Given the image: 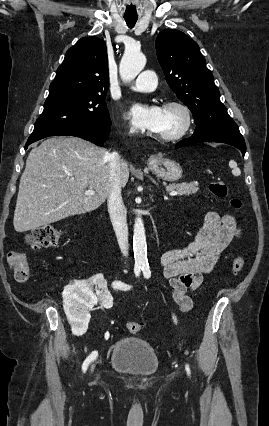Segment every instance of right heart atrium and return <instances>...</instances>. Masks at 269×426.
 <instances>
[{"label":"right heart atrium","mask_w":269,"mask_h":426,"mask_svg":"<svg viewBox=\"0 0 269 426\" xmlns=\"http://www.w3.org/2000/svg\"><path fill=\"white\" fill-rule=\"evenodd\" d=\"M133 132V130L131 129V128H128L127 130H126V133H128V134H131Z\"/></svg>","instance_id":"d8ad5b80"}]
</instances>
